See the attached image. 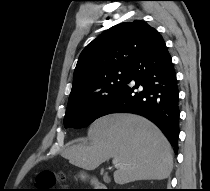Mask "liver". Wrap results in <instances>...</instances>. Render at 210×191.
Here are the masks:
<instances>
[{"label":"liver","instance_id":"1","mask_svg":"<svg viewBox=\"0 0 210 191\" xmlns=\"http://www.w3.org/2000/svg\"><path fill=\"white\" fill-rule=\"evenodd\" d=\"M89 145H72L62 152L69 163L94 170L118 158L114 181L123 185L137 180H163L173 167V151L162 132L149 120L133 114H110L88 130Z\"/></svg>","mask_w":210,"mask_h":191}]
</instances>
